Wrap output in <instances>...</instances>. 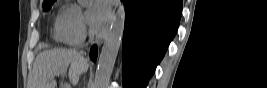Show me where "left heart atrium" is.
Masks as SVG:
<instances>
[{"instance_id":"39dd6f15","label":"left heart atrium","mask_w":267,"mask_h":88,"mask_svg":"<svg viewBox=\"0 0 267 88\" xmlns=\"http://www.w3.org/2000/svg\"><path fill=\"white\" fill-rule=\"evenodd\" d=\"M111 15L110 2L106 0L91 1L87 9V19L95 27L106 23Z\"/></svg>"}]
</instances>
